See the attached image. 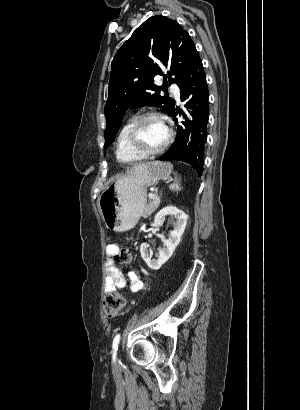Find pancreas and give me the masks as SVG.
Returning a JSON list of instances; mask_svg holds the SVG:
<instances>
[{
  "label": "pancreas",
  "instance_id": "pancreas-1",
  "mask_svg": "<svg viewBox=\"0 0 300 410\" xmlns=\"http://www.w3.org/2000/svg\"><path fill=\"white\" fill-rule=\"evenodd\" d=\"M159 203H160L159 198H155L152 201H149L144 207L143 216L149 217L158 208Z\"/></svg>",
  "mask_w": 300,
  "mask_h": 410
}]
</instances>
